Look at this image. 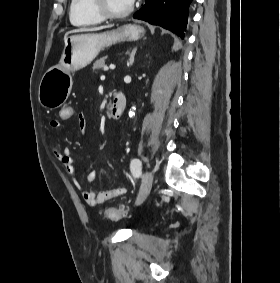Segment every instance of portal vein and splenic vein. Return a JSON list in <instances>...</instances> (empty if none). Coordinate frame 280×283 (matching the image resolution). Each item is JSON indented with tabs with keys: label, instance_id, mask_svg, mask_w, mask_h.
<instances>
[{
	"label": "portal vein and splenic vein",
	"instance_id": "1",
	"mask_svg": "<svg viewBox=\"0 0 280 283\" xmlns=\"http://www.w3.org/2000/svg\"><path fill=\"white\" fill-rule=\"evenodd\" d=\"M109 68L113 70V69H115V65H114V64H111V65L109 66ZM107 69H108V68H106V70H107Z\"/></svg>",
	"mask_w": 280,
	"mask_h": 283
}]
</instances>
